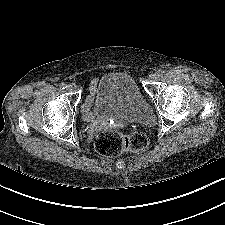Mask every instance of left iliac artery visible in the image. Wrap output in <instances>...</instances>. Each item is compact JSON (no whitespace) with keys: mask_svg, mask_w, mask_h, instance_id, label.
<instances>
[{"mask_svg":"<svg viewBox=\"0 0 225 225\" xmlns=\"http://www.w3.org/2000/svg\"><path fill=\"white\" fill-rule=\"evenodd\" d=\"M164 73H165L164 71H159V72H157V76L161 77Z\"/></svg>","mask_w":225,"mask_h":225,"instance_id":"44dca946","label":"left iliac artery"}]
</instances>
